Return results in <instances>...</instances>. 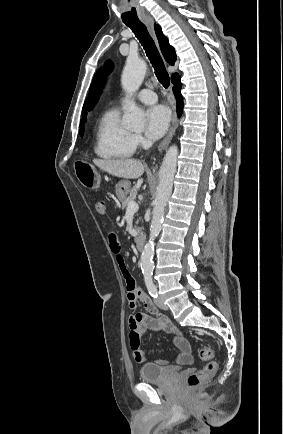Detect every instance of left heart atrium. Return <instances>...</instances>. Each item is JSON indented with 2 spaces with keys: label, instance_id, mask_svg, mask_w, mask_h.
<instances>
[{
  "label": "left heart atrium",
  "instance_id": "obj_1",
  "mask_svg": "<svg viewBox=\"0 0 283 434\" xmlns=\"http://www.w3.org/2000/svg\"><path fill=\"white\" fill-rule=\"evenodd\" d=\"M171 120L170 110L164 105H155L146 112L145 133L148 138L157 140L167 131Z\"/></svg>",
  "mask_w": 283,
  "mask_h": 434
}]
</instances>
